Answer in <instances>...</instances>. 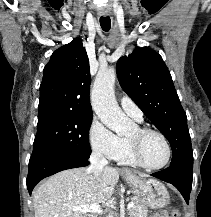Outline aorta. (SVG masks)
I'll return each mask as SVG.
<instances>
[{
	"label": "aorta",
	"mask_w": 211,
	"mask_h": 217,
	"mask_svg": "<svg viewBox=\"0 0 211 217\" xmlns=\"http://www.w3.org/2000/svg\"><path fill=\"white\" fill-rule=\"evenodd\" d=\"M116 71L113 67L98 71L91 92L92 107L100 120L118 135L125 134L131 121L122 112L114 96ZM108 217H113L109 215Z\"/></svg>",
	"instance_id": "aorta-1"
}]
</instances>
